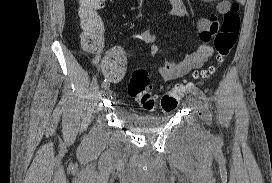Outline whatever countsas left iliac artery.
Here are the masks:
<instances>
[{"instance_id": "left-iliac-artery-1", "label": "left iliac artery", "mask_w": 272, "mask_h": 183, "mask_svg": "<svg viewBox=\"0 0 272 183\" xmlns=\"http://www.w3.org/2000/svg\"><path fill=\"white\" fill-rule=\"evenodd\" d=\"M191 93H192L194 96H197L198 98H200V99H202V100H204V101H207L206 95H205L201 90H199V89H197V88H193V89L191 90Z\"/></svg>"}]
</instances>
